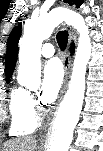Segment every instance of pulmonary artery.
I'll list each match as a JSON object with an SVG mask.
<instances>
[{
  "instance_id": "obj_1",
  "label": "pulmonary artery",
  "mask_w": 103,
  "mask_h": 151,
  "mask_svg": "<svg viewBox=\"0 0 103 151\" xmlns=\"http://www.w3.org/2000/svg\"><path fill=\"white\" fill-rule=\"evenodd\" d=\"M41 54L43 57L50 58L54 55V47L51 43H46L42 46Z\"/></svg>"
}]
</instances>
